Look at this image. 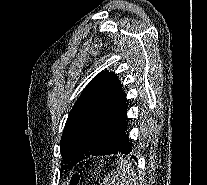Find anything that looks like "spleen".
<instances>
[{"label":"spleen","mask_w":207,"mask_h":185,"mask_svg":"<svg viewBox=\"0 0 207 185\" xmlns=\"http://www.w3.org/2000/svg\"><path fill=\"white\" fill-rule=\"evenodd\" d=\"M133 183H137V174L135 168L131 167L130 158H117V166L115 170H109L104 185H133Z\"/></svg>","instance_id":"1"}]
</instances>
